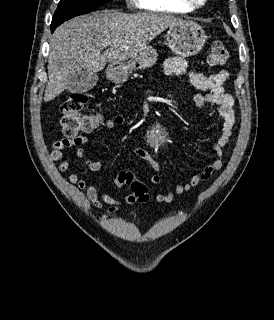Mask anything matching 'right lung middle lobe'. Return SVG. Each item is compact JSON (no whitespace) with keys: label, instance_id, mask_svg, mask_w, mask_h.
Here are the masks:
<instances>
[{"label":"right lung middle lobe","instance_id":"right-lung-middle-lobe-1","mask_svg":"<svg viewBox=\"0 0 274 320\" xmlns=\"http://www.w3.org/2000/svg\"><path fill=\"white\" fill-rule=\"evenodd\" d=\"M112 0H60L54 13L51 27H57L66 20L86 14Z\"/></svg>","mask_w":274,"mask_h":320}]
</instances>
